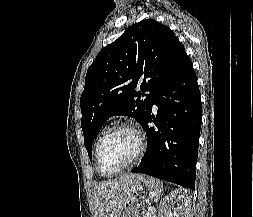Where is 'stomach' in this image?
Instances as JSON below:
<instances>
[{"mask_svg":"<svg viewBox=\"0 0 253 217\" xmlns=\"http://www.w3.org/2000/svg\"><path fill=\"white\" fill-rule=\"evenodd\" d=\"M162 192L161 183L149 176L137 180L128 202L120 210L118 217H141Z\"/></svg>","mask_w":253,"mask_h":217,"instance_id":"obj_1","label":"stomach"}]
</instances>
